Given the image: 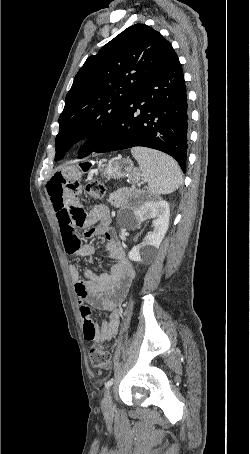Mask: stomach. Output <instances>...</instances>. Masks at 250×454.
Here are the masks:
<instances>
[{"label": "stomach", "instance_id": "0dacf381", "mask_svg": "<svg viewBox=\"0 0 250 454\" xmlns=\"http://www.w3.org/2000/svg\"><path fill=\"white\" fill-rule=\"evenodd\" d=\"M82 168L90 167L89 163H82ZM105 177H127L130 183L135 184L140 181L142 174L138 169L133 168V163L128 158L112 159L99 168Z\"/></svg>", "mask_w": 250, "mask_h": 454}]
</instances>
